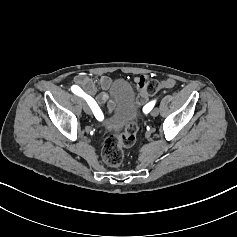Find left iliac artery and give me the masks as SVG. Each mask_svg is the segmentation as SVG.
<instances>
[{
    "mask_svg": "<svg viewBox=\"0 0 237 237\" xmlns=\"http://www.w3.org/2000/svg\"><path fill=\"white\" fill-rule=\"evenodd\" d=\"M154 105H155V101L149 102L148 104H146V105L144 106L143 112H144V113H149V112L152 110V108L154 107Z\"/></svg>",
    "mask_w": 237,
    "mask_h": 237,
    "instance_id": "1",
    "label": "left iliac artery"
}]
</instances>
